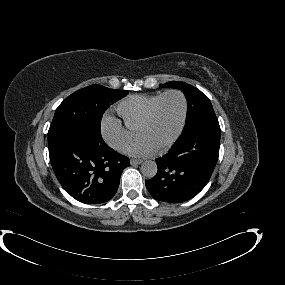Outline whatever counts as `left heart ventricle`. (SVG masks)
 Listing matches in <instances>:
<instances>
[{
	"label": "left heart ventricle",
	"instance_id": "1",
	"mask_svg": "<svg viewBox=\"0 0 285 285\" xmlns=\"http://www.w3.org/2000/svg\"><path fill=\"white\" fill-rule=\"evenodd\" d=\"M183 113V102L177 95H169L160 103L153 120L137 130L138 137L145 138L155 147L168 142L178 129Z\"/></svg>",
	"mask_w": 285,
	"mask_h": 285
}]
</instances>
